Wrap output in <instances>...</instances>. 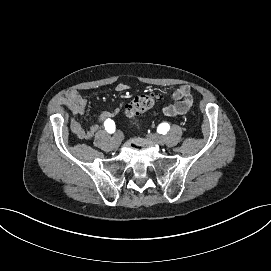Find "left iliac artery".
Returning a JSON list of instances; mask_svg holds the SVG:
<instances>
[{
  "mask_svg": "<svg viewBox=\"0 0 271 271\" xmlns=\"http://www.w3.org/2000/svg\"><path fill=\"white\" fill-rule=\"evenodd\" d=\"M158 131L160 132V133H167L168 131H169V128H170V126H169V124L167 123V122H160L159 124H158Z\"/></svg>",
  "mask_w": 271,
  "mask_h": 271,
  "instance_id": "1",
  "label": "left iliac artery"
}]
</instances>
